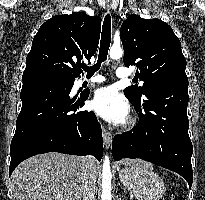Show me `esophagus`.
<instances>
[{"instance_id": "34e87169", "label": "esophagus", "mask_w": 205, "mask_h": 200, "mask_svg": "<svg viewBox=\"0 0 205 200\" xmlns=\"http://www.w3.org/2000/svg\"><path fill=\"white\" fill-rule=\"evenodd\" d=\"M107 9H110V4L107 3L106 5ZM102 136L105 147L108 149L112 142V134L109 132L105 127L102 128Z\"/></svg>"}]
</instances>
